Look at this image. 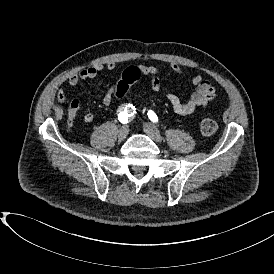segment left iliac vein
<instances>
[{"label":"left iliac vein","mask_w":274,"mask_h":274,"mask_svg":"<svg viewBox=\"0 0 274 274\" xmlns=\"http://www.w3.org/2000/svg\"><path fill=\"white\" fill-rule=\"evenodd\" d=\"M144 132L155 142H161L162 136L158 128L152 123H145L143 125Z\"/></svg>","instance_id":"left-iliac-vein-1"}]
</instances>
